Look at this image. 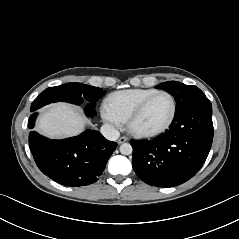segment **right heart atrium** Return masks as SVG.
<instances>
[{
  "mask_svg": "<svg viewBox=\"0 0 239 239\" xmlns=\"http://www.w3.org/2000/svg\"><path fill=\"white\" fill-rule=\"evenodd\" d=\"M102 117L105 123L114 129L121 127L123 123V121L120 118L109 112L105 107L102 110Z\"/></svg>",
  "mask_w": 239,
  "mask_h": 239,
  "instance_id": "right-heart-atrium-1",
  "label": "right heart atrium"
}]
</instances>
